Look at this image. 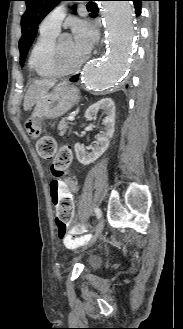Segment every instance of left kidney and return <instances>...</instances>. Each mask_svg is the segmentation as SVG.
<instances>
[{"label": "left kidney", "mask_w": 183, "mask_h": 329, "mask_svg": "<svg viewBox=\"0 0 183 329\" xmlns=\"http://www.w3.org/2000/svg\"><path fill=\"white\" fill-rule=\"evenodd\" d=\"M100 109L104 110L107 115V117L103 120L105 128L103 132L97 135L94 146L92 147V152H86L80 143H76L74 147L77 160L83 165L93 163L107 150L109 140L112 138L114 133L115 104L110 98L101 99L97 103L91 105L85 112L86 120H92L94 115H96Z\"/></svg>", "instance_id": "left-kidney-1"}]
</instances>
